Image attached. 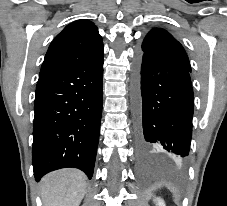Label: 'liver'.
I'll use <instances>...</instances> for the list:
<instances>
[{
    "label": "liver",
    "instance_id": "1",
    "mask_svg": "<svg viewBox=\"0 0 227 206\" xmlns=\"http://www.w3.org/2000/svg\"><path fill=\"white\" fill-rule=\"evenodd\" d=\"M87 187V177L78 169H61L43 177L40 195L44 206H79Z\"/></svg>",
    "mask_w": 227,
    "mask_h": 206
}]
</instances>
